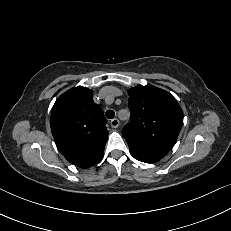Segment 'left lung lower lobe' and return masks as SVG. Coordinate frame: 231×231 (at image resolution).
Wrapping results in <instances>:
<instances>
[{
    "label": "left lung lower lobe",
    "instance_id": "1",
    "mask_svg": "<svg viewBox=\"0 0 231 231\" xmlns=\"http://www.w3.org/2000/svg\"><path fill=\"white\" fill-rule=\"evenodd\" d=\"M131 154L133 155V157H135L136 159H138L139 161H142V162L153 163V162L158 161L156 159H152V158H149V157L138 155V154H136L134 152H131Z\"/></svg>",
    "mask_w": 231,
    "mask_h": 231
}]
</instances>
